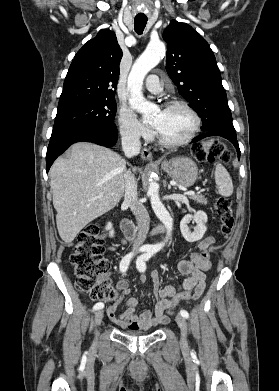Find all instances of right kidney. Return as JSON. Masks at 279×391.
I'll return each mask as SVG.
<instances>
[{
	"mask_svg": "<svg viewBox=\"0 0 279 391\" xmlns=\"http://www.w3.org/2000/svg\"><path fill=\"white\" fill-rule=\"evenodd\" d=\"M106 230L109 231V235L111 237L114 236V229L111 222H108V224L106 225Z\"/></svg>",
	"mask_w": 279,
	"mask_h": 391,
	"instance_id": "1",
	"label": "right kidney"
}]
</instances>
